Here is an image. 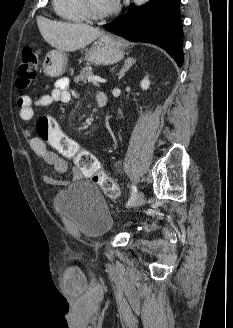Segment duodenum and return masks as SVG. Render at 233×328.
<instances>
[{
    "instance_id": "duodenum-1",
    "label": "duodenum",
    "mask_w": 233,
    "mask_h": 328,
    "mask_svg": "<svg viewBox=\"0 0 233 328\" xmlns=\"http://www.w3.org/2000/svg\"><path fill=\"white\" fill-rule=\"evenodd\" d=\"M97 103L100 107H104L107 104V96L104 93H99L97 95Z\"/></svg>"
}]
</instances>
